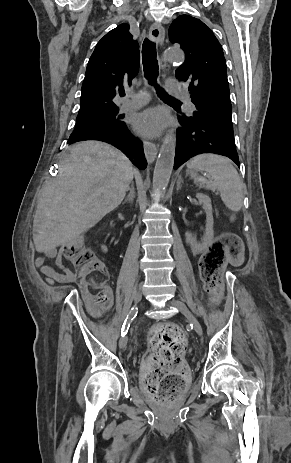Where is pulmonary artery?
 <instances>
[{
	"label": "pulmonary artery",
	"instance_id": "1",
	"mask_svg": "<svg viewBox=\"0 0 291 463\" xmlns=\"http://www.w3.org/2000/svg\"><path fill=\"white\" fill-rule=\"evenodd\" d=\"M167 91L169 92L170 95L184 99L188 103V107L190 111H193L195 109V105L189 98L188 94L186 91L181 89V86L178 82H176L173 79H169L167 81ZM128 99L124 100L120 108L122 111H129V110H134L137 109L144 104H146L149 101L150 95L148 92H141V93H127Z\"/></svg>",
	"mask_w": 291,
	"mask_h": 463
}]
</instances>
